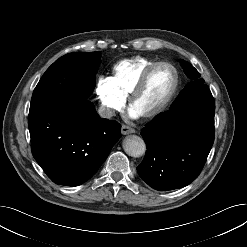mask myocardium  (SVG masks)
Instances as JSON below:
<instances>
[{"instance_id":"1","label":"myocardium","mask_w":247,"mask_h":247,"mask_svg":"<svg viewBox=\"0 0 247 247\" xmlns=\"http://www.w3.org/2000/svg\"><path fill=\"white\" fill-rule=\"evenodd\" d=\"M162 65H167L169 66L173 72H174V83L173 86L170 90V92L168 93L167 97L164 99V101L158 106L156 107L154 110L141 115L142 118L144 119H151L154 118L156 116H158L159 114H161L171 103V101L173 100V98L175 97L178 88H179V84H180V74L178 69L171 63L168 61H156L155 63L151 64L150 66H148L140 75V77L138 78V80L136 81V83L134 84L133 88L131 89L130 93L128 94V105L131 108L133 101L136 99V97L142 92L143 88L145 87L150 75L152 74V72L158 68L159 66Z\"/></svg>"}]
</instances>
